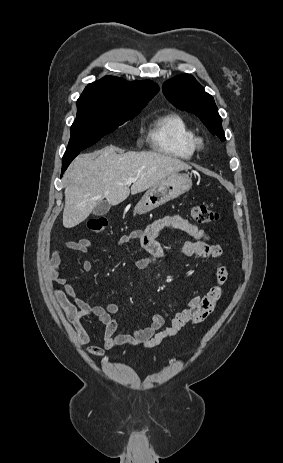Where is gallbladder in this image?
Masks as SVG:
<instances>
[{
    "instance_id": "gallbladder-1",
    "label": "gallbladder",
    "mask_w": 283,
    "mask_h": 463,
    "mask_svg": "<svg viewBox=\"0 0 283 463\" xmlns=\"http://www.w3.org/2000/svg\"><path fill=\"white\" fill-rule=\"evenodd\" d=\"M111 204L106 200L99 202V204L93 209V214L96 216H102L109 212Z\"/></svg>"
}]
</instances>
